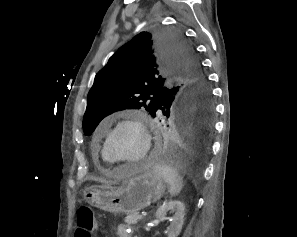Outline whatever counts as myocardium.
<instances>
[{"instance_id":"f54148a6","label":"myocardium","mask_w":297,"mask_h":237,"mask_svg":"<svg viewBox=\"0 0 297 237\" xmlns=\"http://www.w3.org/2000/svg\"><path fill=\"white\" fill-rule=\"evenodd\" d=\"M125 125H131V126L136 127L139 130V132L143 138V147H142L141 153L137 157L130 158V159L117 158L116 156L112 155L109 152V142H110L112 136L115 134V132L117 130H119L121 127H123ZM152 147H153L152 134L149 129V123H148L147 118L144 116H141V115H135V116L121 119L112 127V129L107 133V135L105 137L103 150H104L105 154L107 155V157L113 163L133 164V163H138V162H142V161L146 160L147 157L151 154Z\"/></svg>"}]
</instances>
